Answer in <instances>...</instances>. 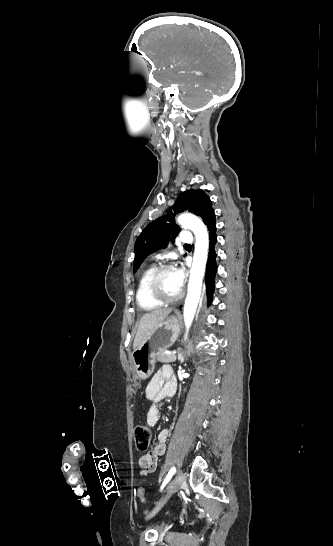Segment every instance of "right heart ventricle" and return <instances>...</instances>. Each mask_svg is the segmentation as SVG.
Returning a JSON list of instances; mask_svg holds the SVG:
<instances>
[{
  "instance_id": "1",
  "label": "right heart ventricle",
  "mask_w": 333,
  "mask_h": 546,
  "mask_svg": "<svg viewBox=\"0 0 333 546\" xmlns=\"http://www.w3.org/2000/svg\"><path fill=\"white\" fill-rule=\"evenodd\" d=\"M154 269L155 266L150 265L144 270L140 277L136 291L137 304L145 311H152L162 306V303L154 300L148 291V281Z\"/></svg>"
}]
</instances>
